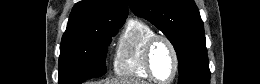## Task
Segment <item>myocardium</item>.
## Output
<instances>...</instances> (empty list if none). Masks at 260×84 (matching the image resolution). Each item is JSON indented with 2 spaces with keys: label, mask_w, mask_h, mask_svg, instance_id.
Wrapping results in <instances>:
<instances>
[{
  "label": "myocardium",
  "mask_w": 260,
  "mask_h": 84,
  "mask_svg": "<svg viewBox=\"0 0 260 84\" xmlns=\"http://www.w3.org/2000/svg\"><path fill=\"white\" fill-rule=\"evenodd\" d=\"M160 41L165 42L169 46L172 56H173V61H174L173 73H172L171 77L166 81H162L157 78V76L153 70V65H152L153 51H154V48L157 45V43ZM144 64H145V69H146L148 75L150 76V79H152L153 81H155L157 83H162V84H169V83L173 82L178 74L179 67H180L178 51H177V48H176L175 44L173 43V41L164 34L155 33L154 35H152L146 43Z\"/></svg>",
  "instance_id": "f54148a6"
}]
</instances>
